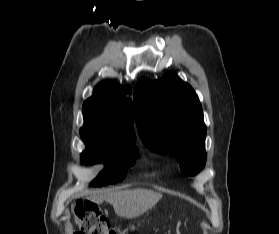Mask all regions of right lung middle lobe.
<instances>
[{"label":"right lung middle lobe","mask_w":279,"mask_h":234,"mask_svg":"<svg viewBox=\"0 0 279 234\" xmlns=\"http://www.w3.org/2000/svg\"><path fill=\"white\" fill-rule=\"evenodd\" d=\"M80 134L86 145L85 151L81 154V161L91 165L106 163L104 170L90 184L93 187L121 182L126 177L128 167L139 157L133 142H102L90 139L81 132Z\"/></svg>","instance_id":"right-lung-middle-lobe-1"}]
</instances>
